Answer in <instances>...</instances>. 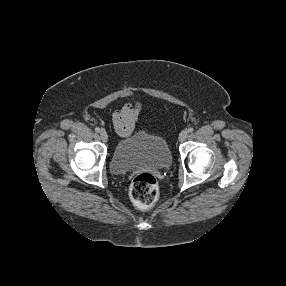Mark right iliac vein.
<instances>
[{
	"label": "right iliac vein",
	"mask_w": 286,
	"mask_h": 286,
	"mask_svg": "<svg viewBox=\"0 0 286 286\" xmlns=\"http://www.w3.org/2000/svg\"><path fill=\"white\" fill-rule=\"evenodd\" d=\"M100 137L102 141L107 142L108 141V134L105 130L100 131Z\"/></svg>",
	"instance_id": "63e3f726"
}]
</instances>
